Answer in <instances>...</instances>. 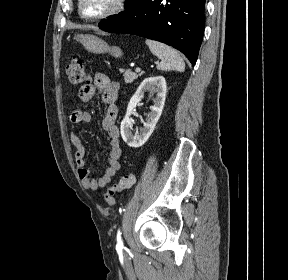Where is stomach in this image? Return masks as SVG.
Returning <instances> with one entry per match:
<instances>
[{
	"instance_id": "obj_1",
	"label": "stomach",
	"mask_w": 288,
	"mask_h": 280,
	"mask_svg": "<svg viewBox=\"0 0 288 280\" xmlns=\"http://www.w3.org/2000/svg\"><path fill=\"white\" fill-rule=\"evenodd\" d=\"M76 39L80 41L86 50L94 54L109 53L115 58L123 55L122 50L117 46H110L101 38L91 34L77 35Z\"/></svg>"
}]
</instances>
